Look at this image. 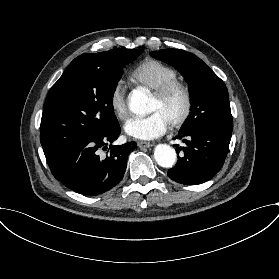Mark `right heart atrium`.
Listing matches in <instances>:
<instances>
[{
  "label": "right heart atrium",
  "mask_w": 279,
  "mask_h": 279,
  "mask_svg": "<svg viewBox=\"0 0 279 279\" xmlns=\"http://www.w3.org/2000/svg\"><path fill=\"white\" fill-rule=\"evenodd\" d=\"M108 104L117 120L123 121L127 118V86L123 79L117 80L113 85L109 94Z\"/></svg>",
  "instance_id": "obj_1"
}]
</instances>
